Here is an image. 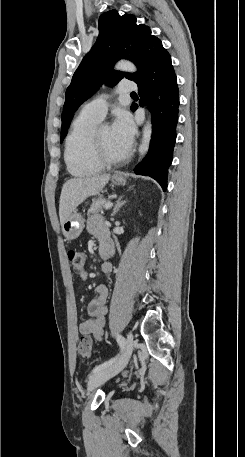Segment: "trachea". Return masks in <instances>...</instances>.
Masks as SVG:
<instances>
[{
	"instance_id": "obj_1",
	"label": "trachea",
	"mask_w": 245,
	"mask_h": 457,
	"mask_svg": "<svg viewBox=\"0 0 245 457\" xmlns=\"http://www.w3.org/2000/svg\"><path fill=\"white\" fill-rule=\"evenodd\" d=\"M131 95H136L135 92H131Z\"/></svg>"
}]
</instances>
